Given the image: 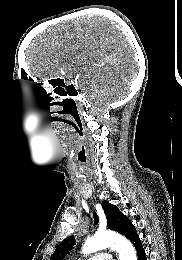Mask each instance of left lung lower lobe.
<instances>
[{
	"instance_id": "0a47b994",
	"label": "left lung lower lobe",
	"mask_w": 182,
	"mask_h": 260,
	"mask_svg": "<svg viewBox=\"0 0 182 260\" xmlns=\"http://www.w3.org/2000/svg\"><path fill=\"white\" fill-rule=\"evenodd\" d=\"M126 237L132 242L134 245L137 255H138V260H147L145 250L142 246L141 240L139 238V235L137 234V231L135 227L131 229V231L126 235Z\"/></svg>"
}]
</instances>
